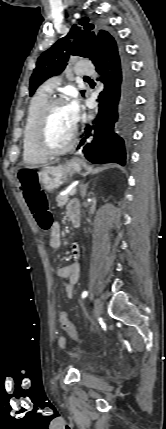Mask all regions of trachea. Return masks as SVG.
I'll return each mask as SVG.
<instances>
[{"mask_svg": "<svg viewBox=\"0 0 166 429\" xmlns=\"http://www.w3.org/2000/svg\"><path fill=\"white\" fill-rule=\"evenodd\" d=\"M84 79H85V80H87V79H90V78H89V77H87V76H85V77H84Z\"/></svg>", "mask_w": 166, "mask_h": 429, "instance_id": "trachea-1", "label": "trachea"}]
</instances>
